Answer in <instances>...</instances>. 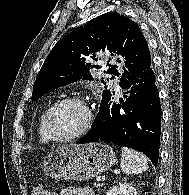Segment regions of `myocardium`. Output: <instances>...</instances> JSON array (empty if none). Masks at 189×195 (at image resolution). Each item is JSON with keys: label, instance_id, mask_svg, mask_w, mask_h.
I'll use <instances>...</instances> for the list:
<instances>
[{"label": "myocardium", "instance_id": "myocardium-1", "mask_svg": "<svg viewBox=\"0 0 189 195\" xmlns=\"http://www.w3.org/2000/svg\"><path fill=\"white\" fill-rule=\"evenodd\" d=\"M71 103L78 104L85 109V111L87 113V118H86L85 124L82 127V129L79 130L75 134H72L69 136H64V137L58 136L55 134V132L53 131V128H52V117H53L54 113L61 106L66 105V104H71ZM94 119H95V114H94V111H93L90 103L82 97L73 96V97H66V98H63V99L56 101L48 109L46 116H45V120H44V126H45V130L47 132V135L49 136V138L51 140L56 141V142H71L73 140H76V139L84 136L91 129L93 122H94Z\"/></svg>", "mask_w": 189, "mask_h": 195}]
</instances>
